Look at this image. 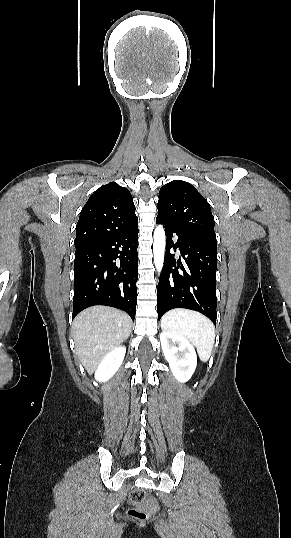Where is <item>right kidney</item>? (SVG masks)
Listing matches in <instances>:
<instances>
[{
	"label": "right kidney",
	"instance_id": "obj_1",
	"mask_svg": "<svg viewBox=\"0 0 291 538\" xmlns=\"http://www.w3.org/2000/svg\"><path fill=\"white\" fill-rule=\"evenodd\" d=\"M125 346H118L110 351L99 363L95 371V379L99 382L109 380L121 366L125 357Z\"/></svg>",
	"mask_w": 291,
	"mask_h": 538
}]
</instances>
